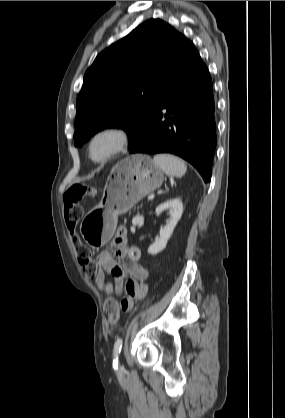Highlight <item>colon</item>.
<instances>
[{
	"instance_id": "colon-1",
	"label": "colon",
	"mask_w": 285,
	"mask_h": 418,
	"mask_svg": "<svg viewBox=\"0 0 285 418\" xmlns=\"http://www.w3.org/2000/svg\"><path fill=\"white\" fill-rule=\"evenodd\" d=\"M84 193L79 187L70 188L64 195V220L69 232L70 241L74 247L77 260L85 274L94 277L97 274V265L92 259L90 249L81 241L77 226L82 216L80 201ZM123 231V230H119ZM127 306H130L128 303ZM121 303L113 296L108 297L104 303V310L110 324L117 322Z\"/></svg>"
}]
</instances>
